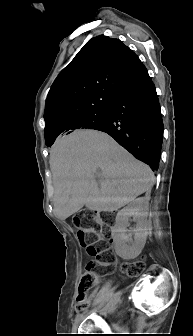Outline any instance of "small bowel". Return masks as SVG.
<instances>
[{
    "mask_svg": "<svg viewBox=\"0 0 193 336\" xmlns=\"http://www.w3.org/2000/svg\"><path fill=\"white\" fill-rule=\"evenodd\" d=\"M102 266H107V264H102ZM94 295H95V293L92 294V296H94Z\"/></svg>",
    "mask_w": 193,
    "mask_h": 336,
    "instance_id": "small-bowel-1",
    "label": "small bowel"
}]
</instances>
